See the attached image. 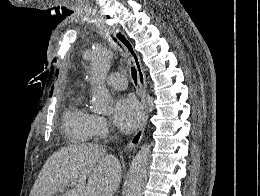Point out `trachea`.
Masks as SVG:
<instances>
[{
    "label": "trachea",
    "instance_id": "1",
    "mask_svg": "<svg viewBox=\"0 0 260 196\" xmlns=\"http://www.w3.org/2000/svg\"><path fill=\"white\" fill-rule=\"evenodd\" d=\"M117 38L120 39V34H119V33L117 34ZM112 39L117 43L116 38H113V37H112ZM118 45H119V44H118ZM131 72H132V78H133V80H134V83H135V85H137V82H138L137 71H136L135 68L132 67V68H131Z\"/></svg>",
    "mask_w": 260,
    "mask_h": 196
}]
</instances>
